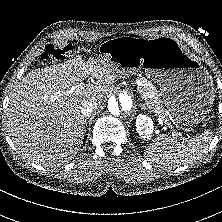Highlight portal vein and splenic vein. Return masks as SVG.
Segmentation results:
<instances>
[{
  "mask_svg": "<svg viewBox=\"0 0 222 222\" xmlns=\"http://www.w3.org/2000/svg\"><path fill=\"white\" fill-rule=\"evenodd\" d=\"M158 122H159L161 125L164 124V123H163L164 120H162L161 118H158ZM165 122H166V124H168L169 128H172V126H171L167 121H165ZM174 136L183 138V137H182V134H181L180 132H174Z\"/></svg>",
  "mask_w": 222,
  "mask_h": 222,
  "instance_id": "portal-vein-and-splenic-vein-1",
  "label": "portal vein and splenic vein"
}]
</instances>
